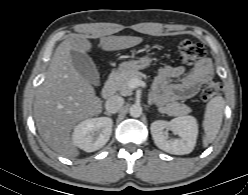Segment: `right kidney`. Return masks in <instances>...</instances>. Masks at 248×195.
I'll return each mask as SVG.
<instances>
[{
	"label": "right kidney",
	"mask_w": 248,
	"mask_h": 195,
	"mask_svg": "<svg viewBox=\"0 0 248 195\" xmlns=\"http://www.w3.org/2000/svg\"><path fill=\"white\" fill-rule=\"evenodd\" d=\"M113 121L108 117L89 118L80 122L73 131V144L86 151L101 149L112 133Z\"/></svg>",
	"instance_id": "right-kidney-1"
}]
</instances>
